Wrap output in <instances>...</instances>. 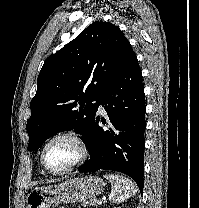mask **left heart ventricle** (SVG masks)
Wrapping results in <instances>:
<instances>
[{
	"label": "left heart ventricle",
	"mask_w": 199,
	"mask_h": 208,
	"mask_svg": "<svg viewBox=\"0 0 199 208\" xmlns=\"http://www.w3.org/2000/svg\"><path fill=\"white\" fill-rule=\"evenodd\" d=\"M79 156L78 146L70 139H58L53 141L46 149L45 159L52 169H61Z\"/></svg>",
	"instance_id": "b2bd125f"
}]
</instances>
